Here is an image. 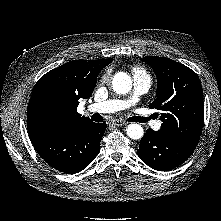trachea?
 <instances>
[{
    "label": "trachea",
    "instance_id": "1",
    "mask_svg": "<svg viewBox=\"0 0 221 221\" xmlns=\"http://www.w3.org/2000/svg\"><path fill=\"white\" fill-rule=\"evenodd\" d=\"M92 119L96 122H101L103 119L99 114H94L92 116ZM149 119H151V117H131L128 119V121L130 122H140V123H145L146 121H148Z\"/></svg>",
    "mask_w": 221,
    "mask_h": 221
}]
</instances>
